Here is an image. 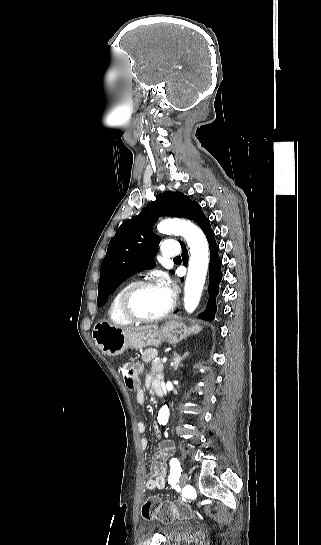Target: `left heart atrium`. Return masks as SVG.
I'll return each mask as SVG.
<instances>
[{"instance_id": "39dd6f15", "label": "left heart atrium", "mask_w": 321, "mask_h": 545, "mask_svg": "<svg viewBox=\"0 0 321 545\" xmlns=\"http://www.w3.org/2000/svg\"><path fill=\"white\" fill-rule=\"evenodd\" d=\"M159 287L167 294L172 302L176 295V287L166 275L161 277Z\"/></svg>"}]
</instances>
